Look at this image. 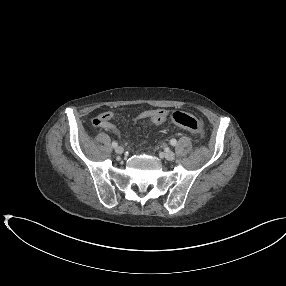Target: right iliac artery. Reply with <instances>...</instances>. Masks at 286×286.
Wrapping results in <instances>:
<instances>
[{"label":"right iliac artery","instance_id":"1","mask_svg":"<svg viewBox=\"0 0 286 286\" xmlns=\"http://www.w3.org/2000/svg\"><path fill=\"white\" fill-rule=\"evenodd\" d=\"M112 146L115 148V147L118 146V143H117L116 141H113V142H112Z\"/></svg>","mask_w":286,"mask_h":286}]
</instances>
